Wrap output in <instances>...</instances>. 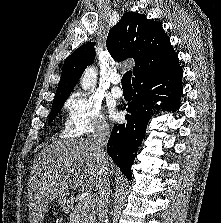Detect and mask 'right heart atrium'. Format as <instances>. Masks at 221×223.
I'll return each mask as SVG.
<instances>
[{"instance_id":"obj_1","label":"right heart atrium","mask_w":221,"mask_h":223,"mask_svg":"<svg viewBox=\"0 0 221 223\" xmlns=\"http://www.w3.org/2000/svg\"><path fill=\"white\" fill-rule=\"evenodd\" d=\"M64 133L68 137H84L94 133L107 132L100 103L81 92L72 93L65 102Z\"/></svg>"}]
</instances>
